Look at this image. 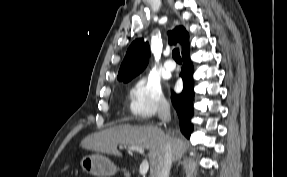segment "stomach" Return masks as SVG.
<instances>
[{
    "label": "stomach",
    "instance_id": "obj_1",
    "mask_svg": "<svg viewBox=\"0 0 287 177\" xmlns=\"http://www.w3.org/2000/svg\"><path fill=\"white\" fill-rule=\"evenodd\" d=\"M83 172L97 177H110L117 172V167L104 155L85 154L80 160Z\"/></svg>",
    "mask_w": 287,
    "mask_h": 177
}]
</instances>
